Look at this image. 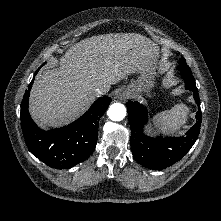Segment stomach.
Instances as JSON below:
<instances>
[{
	"instance_id": "obj_1",
	"label": "stomach",
	"mask_w": 221,
	"mask_h": 221,
	"mask_svg": "<svg viewBox=\"0 0 221 221\" xmlns=\"http://www.w3.org/2000/svg\"><path fill=\"white\" fill-rule=\"evenodd\" d=\"M137 74L138 79L132 80L125 90L131 96H137L141 92L148 91L154 86L153 73L151 69L139 71Z\"/></svg>"
}]
</instances>
